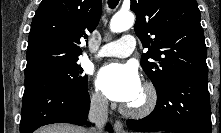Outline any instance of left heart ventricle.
<instances>
[{
	"instance_id": "b2bd125f",
	"label": "left heart ventricle",
	"mask_w": 221,
	"mask_h": 133,
	"mask_svg": "<svg viewBox=\"0 0 221 133\" xmlns=\"http://www.w3.org/2000/svg\"><path fill=\"white\" fill-rule=\"evenodd\" d=\"M142 100H143V91L141 90L138 97L135 100H133L132 102H130L128 105H137V104L141 103Z\"/></svg>"
}]
</instances>
